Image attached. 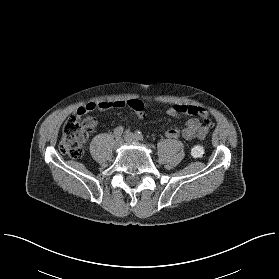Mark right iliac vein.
I'll return each instance as SVG.
<instances>
[{"label":"right iliac vein","instance_id":"right-iliac-vein-1","mask_svg":"<svg viewBox=\"0 0 279 279\" xmlns=\"http://www.w3.org/2000/svg\"><path fill=\"white\" fill-rule=\"evenodd\" d=\"M122 144H123L122 139H121V138H118V139H116L115 142H114V148H119V147H121Z\"/></svg>","mask_w":279,"mask_h":279}]
</instances>
